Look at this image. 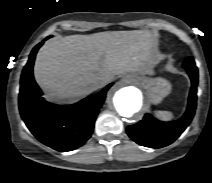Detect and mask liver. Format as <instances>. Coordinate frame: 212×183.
Instances as JSON below:
<instances>
[{
  "mask_svg": "<svg viewBox=\"0 0 212 183\" xmlns=\"http://www.w3.org/2000/svg\"><path fill=\"white\" fill-rule=\"evenodd\" d=\"M156 48V38L144 30L61 37L39 50L34 76L45 91L74 100L93 92L97 78L150 74L160 59Z\"/></svg>",
  "mask_w": 212,
  "mask_h": 183,
  "instance_id": "obj_1",
  "label": "liver"
}]
</instances>
